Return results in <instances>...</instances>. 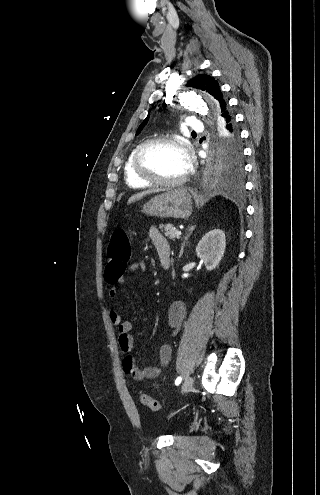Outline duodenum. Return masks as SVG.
Returning a JSON list of instances; mask_svg holds the SVG:
<instances>
[{
	"instance_id": "1",
	"label": "duodenum",
	"mask_w": 320,
	"mask_h": 495,
	"mask_svg": "<svg viewBox=\"0 0 320 495\" xmlns=\"http://www.w3.org/2000/svg\"><path fill=\"white\" fill-rule=\"evenodd\" d=\"M160 262L163 268L168 269L170 267V248L168 247L166 250L159 253Z\"/></svg>"
}]
</instances>
